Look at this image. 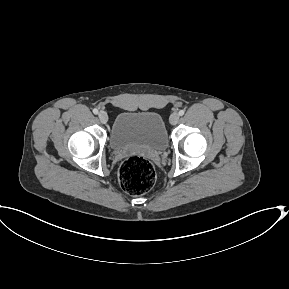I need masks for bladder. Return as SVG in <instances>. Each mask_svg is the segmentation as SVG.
Returning a JSON list of instances; mask_svg holds the SVG:
<instances>
[{
  "label": "bladder",
  "instance_id": "31cf9c89",
  "mask_svg": "<svg viewBox=\"0 0 289 289\" xmlns=\"http://www.w3.org/2000/svg\"><path fill=\"white\" fill-rule=\"evenodd\" d=\"M109 144L115 151L135 148L161 152L168 146V135L164 121L158 113L124 111L115 118Z\"/></svg>",
  "mask_w": 289,
  "mask_h": 289
}]
</instances>
